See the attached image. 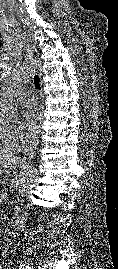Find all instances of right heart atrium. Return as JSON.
Listing matches in <instances>:
<instances>
[{
    "mask_svg": "<svg viewBox=\"0 0 118 269\" xmlns=\"http://www.w3.org/2000/svg\"><path fill=\"white\" fill-rule=\"evenodd\" d=\"M31 141L19 121L4 122L0 118V144L21 148Z\"/></svg>",
    "mask_w": 118,
    "mask_h": 269,
    "instance_id": "right-heart-atrium-1",
    "label": "right heart atrium"
}]
</instances>
